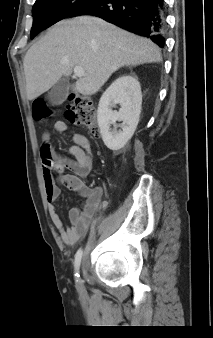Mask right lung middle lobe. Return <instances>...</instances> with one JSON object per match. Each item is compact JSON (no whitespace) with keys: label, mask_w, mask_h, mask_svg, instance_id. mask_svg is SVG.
Instances as JSON below:
<instances>
[{"label":"right lung middle lobe","mask_w":213,"mask_h":338,"mask_svg":"<svg viewBox=\"0 0 213 338\" xmlns=\"http://www.w3.org/2000/svg\"><path fill=\"white\" fill-rule=\"evenodd\" d=\"M93 0H36L33 6V26L31 38L39 32L71 16L82 6Z\"/></svg>","instance_id":"dd1d6c3e"}]
</instances>
